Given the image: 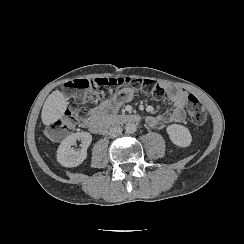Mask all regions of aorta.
Returning a JSON list of instances; mask_svg holds the SVG:
<instances>
[{
	"instance_id": "obj_1",
	"label": "aorta",
	"mask_w": 244,
	"mask_h": 244,
	"mask_svg": "<svg viewBox=\"0 0 244 244\" xmlns=\"http://www.w3.org/2000/svg\"><path fill=\"white\" fill-rule=\"evenodd\" d=\"M125 130L127 133L132 134V133L136 132L137 126L135 123L129 122L125 125Z\"/></svg>"
}]
</instances>
